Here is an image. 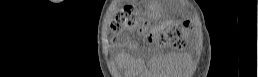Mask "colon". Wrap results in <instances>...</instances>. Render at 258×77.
I'll return each mask as SVG.
<instances>
[{
    "label": "colon",
    "mask_w": 258,
    "mask_h": 77,
    "mask_svg": "<svg viewBox=\"0 0 258 77\" xmlns=\"http://www.w3.org/2000/svg\"><path fill=\"white\" fill-rule=\"evenodd\" d=\"M188 26V22L171 25L160 35H156L149 30L147 23L140 21L137 14L130 8L117 12L110 24L113 32H121L125 28H139L147 42H160L163 45H179L183 39L184 29L188 28Z\"/></svg>",
    "instance_id": "colon-1"
}]
</instances>
